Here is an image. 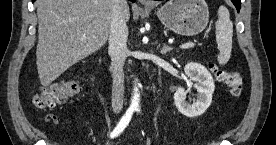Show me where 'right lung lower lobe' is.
I'll return each mask as SVG.
<instances>
[{
	"mask_svg": "<svg viewBox=\"0 0 276 145\" xmlns=\"http://www.w3.org/2000/svg\"><path fill=\"white\" fill-rule=\"evenodd\" d=\"M130 1L134 2L135 0H130ZM32 2H35V0H32Z\"/></svg>",
	"mask_w": 276,
	"mask_h": 145,
	"instance_id": "98d812e1",
	"label": "right lung lower lobe"
}]
</instances>
